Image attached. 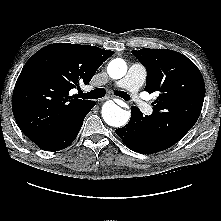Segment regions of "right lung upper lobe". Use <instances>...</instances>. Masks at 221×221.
Segmentation results:
<instances>
[{
    "label": "right lung upper lobe",
    "mask_w": 221,
    "mask_h": 221,
    "mask_svg": "<svg viewBox=\"0 0 221 221\" xmlns=\"http://www.w3.org/2000/svg\"><path fill=\"white\" fill-rule=\"evenodd\" d=\"M114 52L96 46L56 43L36 52L24 65L13 91L12 109L24 134L35 144L60 133L93 104L70 96L88 84Z\"/></svg>",
    "instance_id": "obj_1"
}]
</instances>
